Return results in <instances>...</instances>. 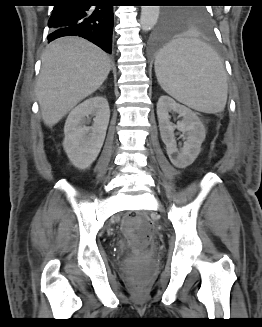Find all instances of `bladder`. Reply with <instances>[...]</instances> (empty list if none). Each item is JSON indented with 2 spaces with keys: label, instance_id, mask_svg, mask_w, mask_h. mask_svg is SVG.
Returning a JSON list of instances; mask_svg holds the SVG:
<instances>
[{
  "label": "bladder",
  "instance_id": "obj_1",
  "mask_svg": "<svg viewBox=\"0 0 262 327\" xmlns=\"http://www.w3.org/2000/svg\"><path fill=\"white\" fill-rule=\"evenodd\" d=\"M135 265H136V262L131 259L124 262V267L127 269L132 268Z\"/></svg>",
  "mask_w": 262,
  "mask_h": 327
}]
</instances>
